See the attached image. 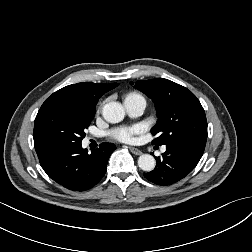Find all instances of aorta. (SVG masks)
Wrapping results in <instances>:
<instances>
[{"label": "aorta", "instance_id": "1", "mask_svg": "<svg viewBox=\"0 0 252 252\" xmlns=\"http://www.w3.org/2000/svg\"><path fill=\"white\" fill-rule=\"evenodd\" d=\"M102 115L109 123H119L125 117V110L121 103L109 102L103 106ZM155 165V158L150 154H143L138 158V166L143 171H152Z\"/></svg>", "mask_w": 252, "mask_h": 252}]
</instances>
